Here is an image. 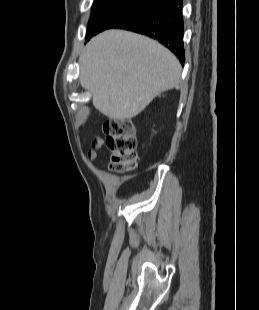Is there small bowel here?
<instances>
[{
  "label": "small bowel",
  "mask_w": 259,
  "mask_h": 310,
  "mask_svg": "<svg viewBox=\"0 0 259 310\" xmlns=\"http://www.w3.org/2000/svg\"><path fill=\"white\" fill-rule=\"evenodd\" d=\"M104 145V140L101 137H96L92 142V147L87 153V157L90 161H96L98 159V151Z\"/></svg>",
  "instance_id": "obj_1"
}]
</instances>
